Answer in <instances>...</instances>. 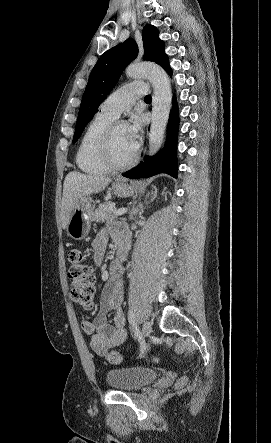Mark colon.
Here are the masks:
<instances>
[{"instance_id":"obj_1","label":"colon","mask_w":271,"mask_h":443,"mask_svg":"<svg viewBox=\"0 0 271 443\" xmlns=\"http://www.w3.org/2000/svg\"><path fill=\"white\" fill-rule=\"evenodd\" d=\"M68 259L71 263L68 273L72 283L71 298L77 305L91 309L94 305L95 279L93 266L89 262V253L72 249L68 253ZM105 357L111 364H118L123 359L117 351H109ZM185 381V378H182L178 384L182 386Z\"/></svg>"}]
</instances>
